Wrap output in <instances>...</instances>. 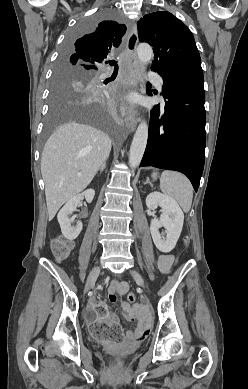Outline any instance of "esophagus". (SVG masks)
Returning a JSON list of instances; mask_svg holds the SVG:
<instances>
[{
  "label": "esophagus",
  "mask_w": 248,
  "mask_h": 389,
  "mask_svg": "<svg viewBox=\"0 0 248 389\" xmlns=\"http://www.w3.org/2000/svg\"><path fill=\"white\" fill-rule=\"evenodd\" d=\"M138 43V34H137V28L134 23H131L129 26V33H128V39L126 44V52L131 57V64L133 66L134 71H137V75H135L132 79V82L130 84L131 88L137 87L138 83L140 82L141 78V65L137 59L136 56V46ZM124 122L126 125V128L129 132H133L137 126L138 123V116L137 113L134 110H128L126 112Z\"/></svg>",
  "instance_id": "esophagus-1"
}]
</instances>
